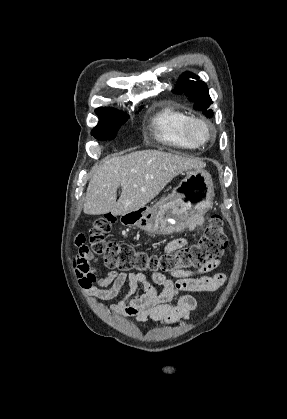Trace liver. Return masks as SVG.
<instances>
[{
  "instance_id": "1",
  "label": "liver",
  "mask_w": 287,
  "mask_h": 419,
  "mask_svg": "<svg viewBox=\"0 0 287 419\" xmlns=\"http://www.w3.org/2000/svg\"><path fill=\"white\" fill-rule=\"evenodd\" d=\"M205 163L186 155L141 150L108 156L89 181L83 211L88 215L110 212L114 216L137 210L154 199L180 173L203 169ZM121 195L117 199V189Z\"/></svg>"
}]
</instances>
